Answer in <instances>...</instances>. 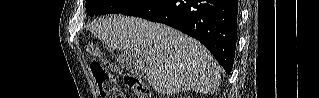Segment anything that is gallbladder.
Here are the masks:
<instances>
[{"instance_id": "1", "label": "gallbladder", "mask_w": 319, "mask_h": 98, "mask_svg": "<svg viewBox=\"0 0 319 98\" xmlns=\"http://www.w3.org/2000/svg\"><path fill=\"white\" fill-rule=\"evenodd\" d=\"M117 62L129 72L138 73L140 71L139 60L131 53L121 51L116 58Z\"/></svg>"}]
</instances>
